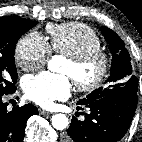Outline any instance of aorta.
<instances>
[{"label": "aorta", "mask_w": 142, "mask_h": 142, "mask_svg": "<svg viewBox=\"0 0 142 142\" xmlns=\"http://www.w3.org/2000/svg\"><path fill=\"white\" fill-rule=\"evenodd\" d=\"M61 64L60 56H53L52 59L48 61V69L52 72L58 71L59 65ZM52 126L56 130H63L68 126V118L64 114H55L52 119Z\"/></svg>", "instance_id": "762f6f07"}]
</instances>
